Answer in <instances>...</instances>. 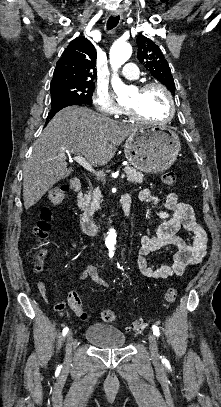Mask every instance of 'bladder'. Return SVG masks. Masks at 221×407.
<instances>
[{"label":"bladder","instance_id":"obj_1","mask_svg":"<svg viewBox=\"0 0 221 407\" xmlns=\"http://www.w3.org/2000/svg\"><path fill=\"white\" fill-rule=\"evenodd\" d=\"M85 340L99 348H116L124 345V332L109 324H92L85 330Z\"/></svg>","mask_w":221,"mask_h":407}]
</instances>
